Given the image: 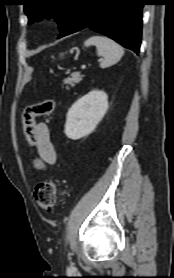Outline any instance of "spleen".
Instances as JSON below:
<instances>
[{
	"mask_svg": "<svg viewBox=\"0 0 174 278\" xmlns=\"http://www.w3.org/2000/svg\"><path fill=\"white\" fill-rule=\"evenodd\" d=\"M92 45L96 47L97 55L103 57L100 63L101 68H107L116 64L124 55L123 48L118 43L105 36L96 35L85 41L86 47Z\"/></svg>",
	"mask_w": 174,
	"mask_h": 278,
	"instance_id": "obj_1",
	"label": "spleen"
}]
</instances>
